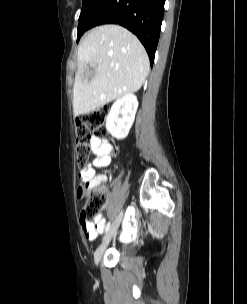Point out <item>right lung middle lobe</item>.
<instances>
[{
    "label": "right lung middle lobe",
    "instance_id": "dd1d6c3e",
    "mask_svg": "<svg viewBox=\"0 0 247 304\" xmlns=\"http://www.w3.org/2000/svg\"><path fill=\"white\" fill-rule=\"evenodd\" d=\"M101 0H83L82 9L79 17V25H78V37L77 41L80 39L82 34L84 33L82 21L83 19L97 6V4Z\"/></svg>",
    "mask_w": 247,
    "mask_h": 304
}]
</instances>
